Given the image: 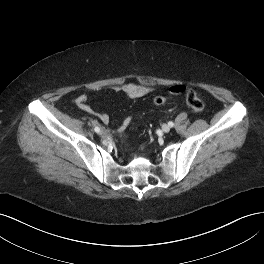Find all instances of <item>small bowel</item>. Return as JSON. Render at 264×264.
Returning a JSON list of instances; mask_svg holds the SVG:
<instances>
[{"instance_id": "c3829d8e", "label": "small bowel", "mask_w": 264, "mask_h": 264, "mask_svg": "<svg viewBox=\"0 0 264 264\" xmlns=\"http://www.w3.org/2000/svg\"><path fill=\"white\" fill-rule=\"evenodd\" d=\"M114 92L121 93L127 99H135L149 95L152 92V88L146 85L126 83L120 86H114L111 88ZM186 87L182 84H175L169 88V93L172 95H180L184 93ZM76 106L87 113L94 115L102 123L107 124L109 122V116L106 113L99 112L94 110L88 104V97L85 94L79 95L75 99ZM130 123V118L124 120L123 124L120 127V130H123Z\"/></svg>"}]
</instances>
